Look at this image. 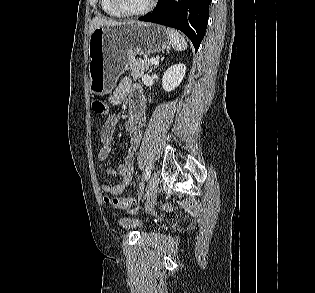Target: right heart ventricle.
Segmentation results:
<instances>
[{
	"label": "right heart ventricle",
	"instance_id": "right-heart-ventricle-1",
	"mask_svg": "<svg viewBox=\"0 0 315 293\" xmlns=\"http://www.w3.org/2000/svg\"><path fill=\"white\" fill-rule=\"evenodd\" d=\"M100 5L102 11L109 17L112 18H122L123 15L118 13L114 7L112 6L111 0H100Z\"/></svg>",
	"mask_w": 315,
	"mask_h": 293
}]
</instances>
